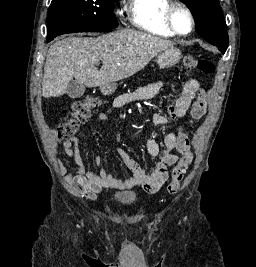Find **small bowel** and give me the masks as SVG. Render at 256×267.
<instances>
[{
	"mask_svg": "<svg viewBox=\"0 0 256 267\" xmlns=\"http://www.w3.org/2000/svg\"><path fill=\"white\" fill-rule=\"evenodd\" d=\"M164 87V82H155L134 91L123 93L115 98L112 108L101 113L99 118L103 121H108L115 110L131 102L155 99ZM198 87L199 84L195 78H189L182 84L177 99L173 103L167 104L171 120H182L185 118ZM154 121L158 128H162L166 125L167 118L162 114H156ZM63 147L66 155L76 163L75 173L73 174L67 173L66 167L62 164L60 165L59 169L64 177V182L77 194L88 200H95L96 196L104 189L127 190L134 186H142L150 194L158 192L168 177V168L176 164L178 160L174 150L180 153L182 151L181 138H177L175 133L165 135L162 148L153 139H149L146 144L147 151L151 156L158 159V163L151 170H146L124 149L119 148L117 150L118 155L127 165L130 173L128 178L121 179L114 176L104 167L98 171L88 170L80 156L78 139L76 137L73 136L64 140ZM94 161L97 165H101L103 162L99 156H96Z\"/></svg>",
	"mask_w": 256,
	"mask_h": 267,
	"instance_id": "c3829d8e",
	"label": "small bowel"
}]
</instances>
